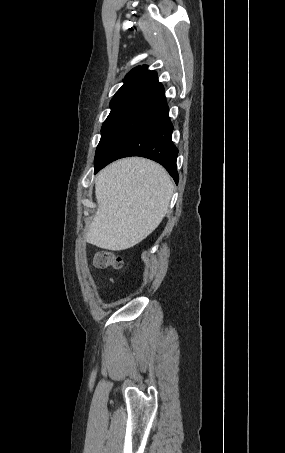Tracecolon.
Segmentation results:
<instances>
[{"instance_id": "colon-1", "label": "colon", "mask_w": 285, "mask_h": 453, "mask_svg": "<svg viewBox=\"0 0 285 453\" xmlns=\"http://www.w3.org/2000/svg\"><path fill=\"white\" fill-rule=\"evenodd\" d=\"M93 262L97 268L112 267L115 269H121L124 266L122 258L108 250H99L96 252Z\"/></svg>"}]
</instances>
